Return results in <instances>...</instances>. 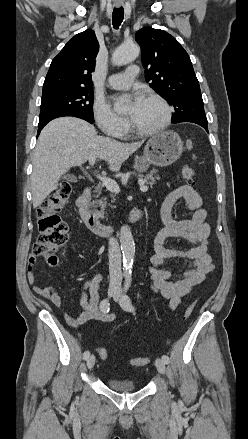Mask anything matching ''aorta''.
I'll return each instance as SVG.
<instances>
[{
  "label": "aorta",
  "instance_id": "762f6f07",
  "mask_svg": "<svg viewBox=\"0 0 248 439\" xmlns=\"http://www.w3.org/2000/svg\"><path fill=\"white\" fill-rule=\"evenodd\" d=\"M140 53L137 44H123L112 55V63L117 66L128 64L135 60ZM120 244L123 256V269L126 275L131 273L134 257L135 243L129 226L124 225L120 229Z\"/></svg>",
  "mask_w": 248,
  "mask_h": 439
}]
</instances>
